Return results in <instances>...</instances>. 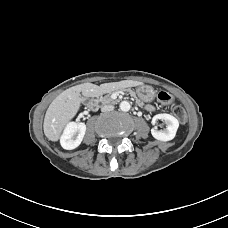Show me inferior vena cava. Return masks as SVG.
I'll return each instance as SVG.
<instances>
[{
  "instance_id": "obj_1",
  "label": "inferior vena cava",
  "mask_w": 228,
  "mask_h": 228,
  "mask_svg": "<svg viewBox=\"0 0 228 228\" xmlns=\"http://www.w3.org/2000/svg\"><path fill=\"white\" fill-rule=\"evenodd\" d=\"M113 109H114L113 105H104L101 107L102 112H109V111H112Z\"/></svg>"
}]
</instances>
